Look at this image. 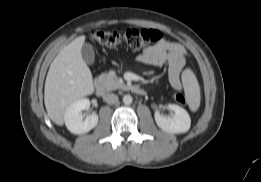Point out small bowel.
Here are the masks:
<instances>
[{"mask_svg": "<svg viewBox=\"0 0 261 182\" xmlns=\"http://www.w3.org/2000/svg\"><path fill=\"white\" fill-rule=\"evenodd\" d=\"M137 60L145 65H167L171 86L176 90L182 89L181 73L186 65V51L181 44L161 39L156 44L143 49L137 56Z\"/></svg>", "mask_w": 261, "mask_h": 182, "instance_id": "c3829d8e", "label": "small bowel"}]
</instances>
